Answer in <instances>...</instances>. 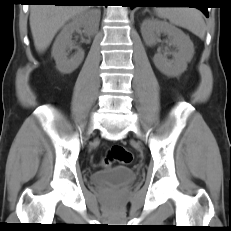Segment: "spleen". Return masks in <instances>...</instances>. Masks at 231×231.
Instances as JSON below:
<instances>
[{
	"label": "spleen",
	"mask_w": 231,
	"mask_h": 231,
	"mask_svg": "<svg viewBox=\"0 0 231 231\" xmlns=\"http://www.w3.org/2000/svg\"><path fill=\"white\" fill-rule=\"evenodd\" d=\"M156 14L168 19L172 24L185 28L201 39H204L206 26L199 10L189 7H158Z\"/></svg>",
	"instance_id": "obj_1"
}]
</instances>
